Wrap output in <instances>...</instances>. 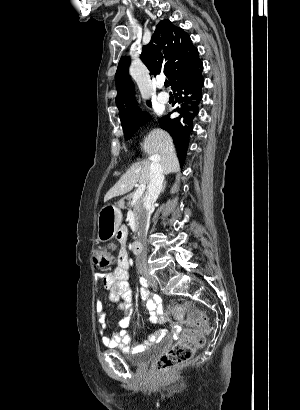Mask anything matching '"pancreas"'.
I'll return each instance as SVG.
<instances>
[{
  "label": "pancreas",
  "mask_w": 300,
  "mask_h": 410,
  "mask_svg": "<svg viewBox=\"0 0 300 410\" xmlns=\"http://www.w3.org/2000/svg\"><path fill=\"white\" fill-rule=\"evenodd\" d=\"M133 195H134V194L131 193V194L127 195L126 197H124V198L119 202V205H120L121 207H125V202H124V200H127V201H128V203H127L128 206H132V207H133V212H134V214H135V216H136V220H138L139 215H140L141 211L143 210V208H142V199L139 198L134 204H132Z\"/></svg>",
  "instance_id": "cf45deb5"
}]
</instances>
